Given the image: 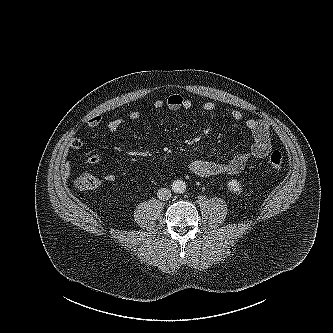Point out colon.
<instances>
[{
    "mask_svg": "<svg viewBox=\"0 0 333 333\" xmlns=\"http://www.w3.org/2000/svg\"><path fill=\"white\" fill-rule=\"evenodd\" d=\"M283 164L284 156L282 152L279 150L271 152L267 160V169L271 171L279 170L283 167ZM100 183L101 182L97 177L89 173H83L74 180L75 188L80 190L95 189L100 186Z\"/></svg>",
    "mask_w": 333,
    "mask_h": 333,
    "instance_id": "obj_1",
    "label": "colon"
}]
</instances>
